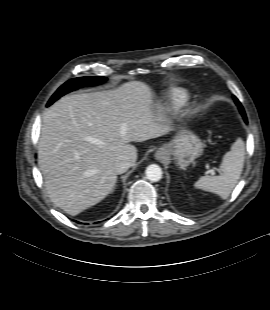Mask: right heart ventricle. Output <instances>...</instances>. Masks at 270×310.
<instances>
[{
  "label": "right heart ventricle",
  "instance_id": "right-heart-ventricle-1",
  "mask_svg": "<svg viewBox=\"0 0 270 310\" xmlns=\"http://www.w3.org/2000/svg\"><path fill=\"white\" fill-rule=\"evenodd\" d=\"M190 99V93L184 88H174L165 97L161 104L163 110L175 111L180 109Z\"/></svg>",
  "mask_w": 270,
  "mask_h": 310
}]
</instances>
